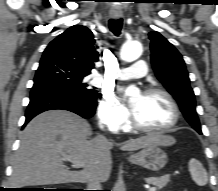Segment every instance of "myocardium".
Wrapping results in <instances>:
<instances>
[{
	"label": "myocardium",
	"instance_id": "1",
	"mask_svg": "<svg viewBox=\"0 0 218 191\" xmlns=\"http://www.w3.org/2000/svg\"><path fill=\"white\" fill-rule=\"evenodd\" d=\"M145 94L148 95H162L163 97H165L167 99V101L169 102V104L172 107L173 110V119L172 121L165 127L162 128H149V127H145L143 125H141L134 113H132L131 115V126L138 131L141 132H145V133H150V134H161V133H166L171 131L172 129H174L177 124L180 121V108L178 103L176 102V100L174 99V97L166 90L162 89V88H158V87H150L145 91Z\"/></svg>",
	"mask_w": 218,
	"mask_h": 191
}]
</instances>
